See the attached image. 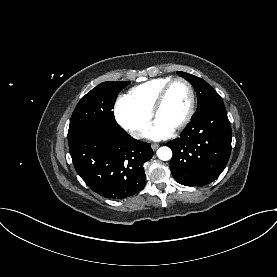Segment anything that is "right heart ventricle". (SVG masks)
<instances>
[{"label": "right heart ventricle", "instance_id": "1", "mask_svg": "<svg viewBox=\"0 0 277 277\" xmlns=\"http://www.w3.org/2000/svg\"><path fill=\"white\" fill-rule=\"evenodd\" d=\"M162 77L139 84L128 91V99L142 112L149 114L161 89L171 80Z\"/></svg>", "mask_w": 277, "mask_h": 277}]
</instances>
